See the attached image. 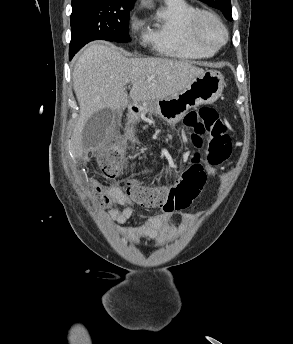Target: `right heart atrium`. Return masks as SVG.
I'll list each match as a JSON object with an SVG mask.
<instances>
[{
	"instance_id": "obj_1",
	"label": "right heart atrium",
	"mask_w": 293,
	"mask_h": 344,
	"mask_svg": "<svg viewBox=\"0 0 293 344\" xmlns=\"http://www.w3.org/2000/svg\"><path fill=\"white\" fill-rule=\"evenodd\" d=\"M140 27H141V21L138 18H136L135 16H132L129 19V28H130V30L136 31Z\"/></svg>"
}]
</instances>
